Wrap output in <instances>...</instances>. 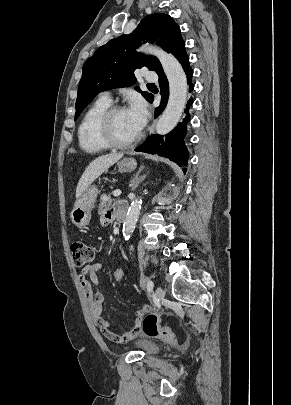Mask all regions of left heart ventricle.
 Listing matches in <instances>:
<instances>
[{
	"mask_svg": "<svg viewBox=\"0 0 291 405\" xmlns=\"http://www.w3.org/2000/svg\"><path fill=\"white\" fill-rule=\"evenodd\" d=\"M113 133L117 140L123 142L132 140L139 133L127 110L121 111L114 116Z\"/></svg>",
	"mask_w": 291,
	"mask_h": 405,
	"instance_id": "1",
	"label": "left heart ventricle"
}]
</instances>
